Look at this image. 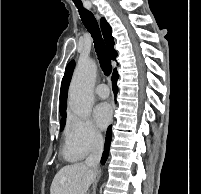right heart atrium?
<instances>
[{
    "mask_svg": "<svg viewBox=\"0 0 201 194\" xmlns=\"http://www.w3.org/2000/svg\"><path fill=\"white\" fill-rule=\"evenodd\" d=\"M103 136L87 118L70 117L65 130V152L71 158H83L98 150Z\"/></svg>",
    "mask_w": 201,
    "mask_h": 194,
    "instance_id": "d8ad5b80",
    "label": "right heart atrium"
}]
</instances>
